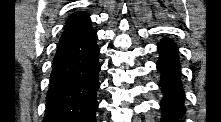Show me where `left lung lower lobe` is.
Segmentation results:
<instances>
[{"label":"left lung lower lobe","instance_id":"left-lung-lower-lobe-1","mask_svg":"<svg viewBox=\"0 0 221 122\" xmlns=\"http://www.w3.org/2000/svg\"><path fill=\"white\" fill-rule=\"evenodd\" d=\"M158 51L160 58L157 68L162 74L160 87L164 95L161 103L162 122H177L179 115L185 111L180 65L177 58L178 50L172 41L163 39L158 46Z\"/></svg>","mask_w":221,"mask_h":122}]
</instances>
